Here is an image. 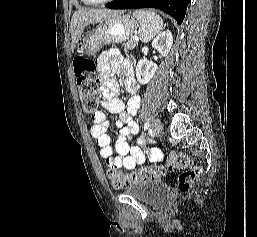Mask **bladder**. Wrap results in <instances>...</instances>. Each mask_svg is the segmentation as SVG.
<instances>
[{
  "label": "bladder",
  "mask_w": 257,
  "mask_h": 237,
  "mask_svg": "<svg viewBox=\"0 0 257 237\" xmlns=\"http://www.w3.org/2000/svg\"><path fill=\"white\" fill-rule=\"evenodd\" d=\"M124 192L148 205L161 203L167 194L164 184L157 180H145L133 183L124 188Z\"/></svg>",
  "instance_id": "obj_1"
}]
</instances>
